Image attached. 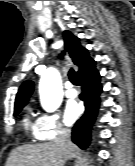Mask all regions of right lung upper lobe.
Here are the masks:
<instances>
[{"instance_id": "1", "label": "right lung upper lobe", "mask_w": 135, "mask_h": 166, "mask_svg": "<svg viewBox=\"0 0 135 166\" xmlns=\"http://www.w3.org/2000/svg\"><path fill=\"white\" fill-rule=\"evenodd\" d=\"M63 36L66 51L68 52V55L71 58L73 64L79 67V71L94 61L89 57L88 50L80 45L79 39L75 37L70 31H64ZM60 57H63V55H60ZM79 71L77 73H79ZM33 89L34 84L30 80L25 81L21 85L16 95L15 109L26 105L30 95L33 92Z\"/></svg>"}]
</instances>
